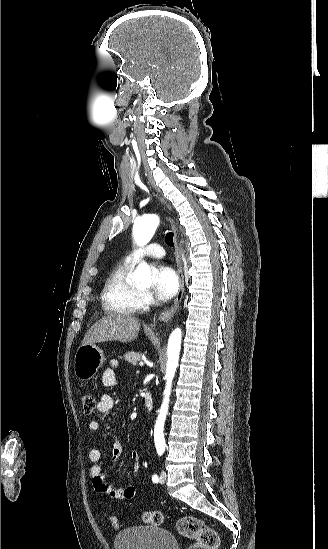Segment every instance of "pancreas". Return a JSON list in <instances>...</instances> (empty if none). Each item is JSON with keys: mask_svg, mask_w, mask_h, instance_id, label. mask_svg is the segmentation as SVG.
Masks as SVG:
<instances>
[{"mask_svg": "<svg viewBox=\"0 0 328 549\" xmlns=\"http://www.w3.org/2000/svg\"><path fill=\"white\" fill-rule=\"evenodd\" d=\"M124 359L125 361H127V363H132V365H138L139 361H141V355L140 353H134V351H130V353H125Z\"/></svg>", "mask_w": 328, "mask_h": 549, "instance_id": "1", "label": "pancreas"}]
</instances>
